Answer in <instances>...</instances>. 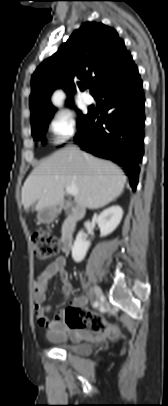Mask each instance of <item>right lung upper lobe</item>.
I'll return each instance as SVG.
<instances>
[{
	"mask_svg": "<svg viewBox=\"0 0 168 406\" xmlns=\"http://www.w3.org/2000/svg\"><path fill=\"white\" fill-rule=\"evenodd\" d=\"M132 67L136 65L115 29L96 22L82 24L32 75L31 123L53 114L50 96L56 88L64 89L71 98L76 81L80 90L92 85L94 96Z\"/></svg>",
	"mask_w": 168,
	"mask_h": 406,
	"instance_id": "right-lung-upper-lobe-1",
	"label": "right lung upper lobe"
}]
</instances>
